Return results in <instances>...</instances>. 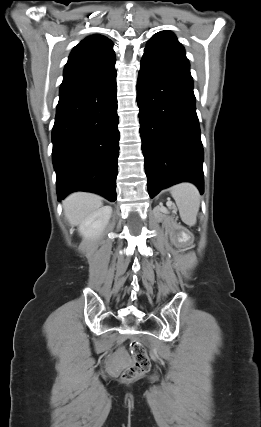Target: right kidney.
I'll return each mask as SVG.
<instances>
[{
  "instance_id": "obj_1",
  "label": "right kidney",
  "mask_w": 261,
  "mask_h": 427,
  "mask_svg": "<svg viewBox=\"0 0 261 427\" xmlns=\"http://www.w3.org/2000/svg\"><path fill=\"white\" fill-rule=\"evenodd\" d=\"M112 208L104 206L88 216L78 228L84 238H96L101 235L111 218Z\"/></svg>"
}]
</instances>
